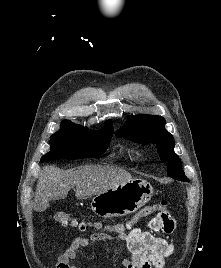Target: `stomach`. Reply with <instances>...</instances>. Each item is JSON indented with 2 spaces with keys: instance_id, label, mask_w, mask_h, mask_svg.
I'll return each instance as SVG.
<instances>
[{
  "instance_id": "0dacf381",
  "label": "stomach",
  "mask_w": 221,
  "mask_h": 268,
  "mask_svg": "<svg viewBox=\"0 0 221 268\" xmlns=\"http://www.w3.org/2000/svg\"><path fill=\"white\" fill-rule=\"evenodd\" d=\"M152 195L153 188L148 182L132 179L96 195L92 199L91 209L103 218L126 216L140 209Z\"/></svg>"
}]
</instances>
